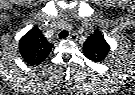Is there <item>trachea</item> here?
<instances>
[{"label":"trachea","instance_id":"3493384b","mask_svg":"<svg viewBox=\"0 0 135 95\" xmlns=\"http://www.w3.org/2000/svg\"><path fill=\"white\" fill-rule=\"evenodd\" d=\"M68 36V31H66V30H63V31H61L60 33H59V38L60 39H64V38H66Z\"/></svg>","mask_w":135,"mask_h":95}]
</instances>
